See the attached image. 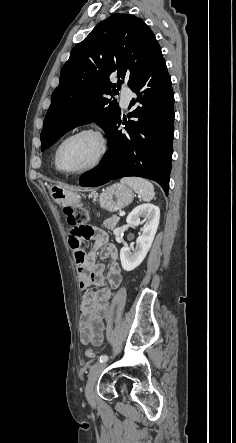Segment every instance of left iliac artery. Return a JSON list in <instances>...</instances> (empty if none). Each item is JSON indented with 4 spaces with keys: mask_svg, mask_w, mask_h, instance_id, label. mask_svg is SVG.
Wrapping results in <instances>:
<instances>
[{
    "mask_svg": "<svg viewBox=\"0 0 236 443\" xmlns=\"http://www.w3.org/2000/svg\"><path fill=\"white\" fill-rule=\"evenodd\" d=\"M108 360V356L107 355H102L99 357V362H106Z\"/></svg>",
    "mask_w": 236,
    "mask_h": 443,
    "instance_id": "obj_1",
    "label": "left iliac artery"
}]
</instances>
